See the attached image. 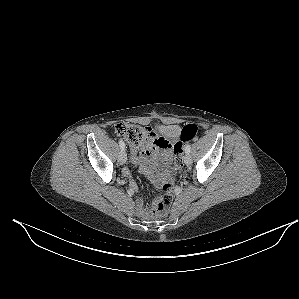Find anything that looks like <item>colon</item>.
<instances>
[{
    "mask_svg": "<svg viewBox=\"0 0 299 299\" xmlns=\"http://www.w3.org/2000/svg\"><path fill=\"white\" fill-rule=\"evenodd\" d=\"M118 136L123 137L130 146L141 148L147 139L148 128L131 123H118L114 128ZM198 133V126L195 124H187L181 130L180 140L173 146L175 155L174 166L180 171L183 166V149L185 143L193 140ZM173 190L170 184L164 185V194L155 201L154 214L163 215L173 200Z\"/></svg>",
    "mask_w": 299,
    "mask_h": 299,
    "instance_id": "5ec220e1",
    "label": "colon"
}]
</instances>
